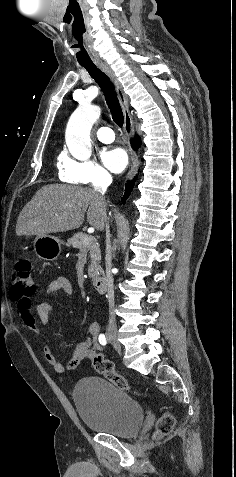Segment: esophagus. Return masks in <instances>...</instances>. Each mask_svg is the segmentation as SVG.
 Masks as SVG:
<instances>
[{"instance_id": "esophagus-1", "label": "esophagus", "mask_w": 236, "mask_h": 477, "mask_svg": "<svg viewBox=\"0 0 236 477\" xmlns=\"http://www.w3.org/2000/svg\"><path fill=\"white\" fill-rule=\"evenodd\" d=\"M98 67L104 73H106L108 75V77L111 79V81L114 84V87H115L120 105H121L122 110H123L124 130H125L128 138H132L133 133H134L133 121H132V117H131V114H130V111H129L128 98L123 91L122 85L119 82V80L117 79V77L115 76L114 72L107 65L98 64ZM137 166H138V159H137L136 152L133 149H131V166H130V170L128 172V177L129 178H132L134 176V174L136 173V170H137Z\"/></svg>"}]
</instances>
